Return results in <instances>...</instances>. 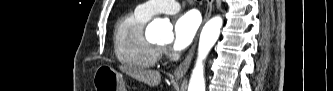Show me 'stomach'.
Segmentation results:
<instances>
[{
	"label": "stomach",
	"mask_w": 333,
	"mask_h": 91,
	"mask_svg": "<svg viewBox=\"0 0 333 91\" xmlns=\"http://www.w3.org/2000/svg\"><path fill=\"white\" fill-rule=\"evenodd\" d=\"M93 85L96 91H126L122 74L108 65L96 69Z\"/></svg>",
	"instance_id": "stomach-1"
}]
</instances>
